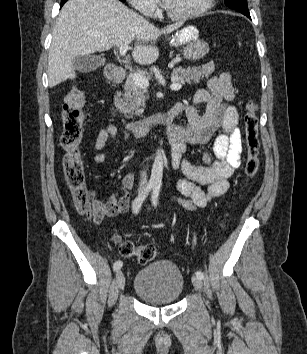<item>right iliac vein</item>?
<instances>
[{
	"instance_id": "obj_1",
	"label": "right iliac vein",
	"mask_w": 307,
	"mask_h": 354,
	"mask_svg": "<svg viewBox=\"0 0 307 354\" xmlns=\"http://www.w3.org/2000/svg\"><path fill=\"white\" fill-rule=\"evenodd\" d=\"M117 286L119 289H123L125 286V276L122 271H118L116 274Z\"/></svg>"
}]
</instances>
